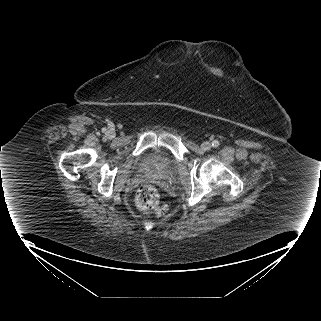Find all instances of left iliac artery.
<instances>
[{
    "label": "left iliac artery",
    "instance_id": "44dca946",
    "mask_svg": "<svg viewBox=\"0 0 321 321\" xmlns=\"http://www.w3.org/2000/svg\"><path fill=\"white\" fill-rule=\"evenodd\" d=\"M212 146L215 147V148L218 147L219 146V142L217 140H214L212 142Z\"/></svg>",
    "mask_w": 321,
    "mask_h": 321
}]
</instances>
